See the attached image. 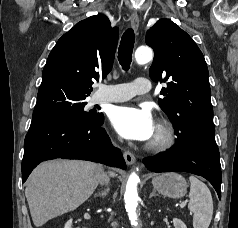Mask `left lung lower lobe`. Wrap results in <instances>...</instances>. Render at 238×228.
I'll return each instance as SVG.
<instances>
[{
  "label": "left lung lower lobe",
  "instance_id": "obj_1",
  "mask_svg": "<svg viewBox=\"0 0 238 228\" xmlns=\"http://www.w3.org/2000/svg\"><path fill=\"white\" fill-rule=\"evenodd\" d=\"M149 171H181L200 175L206 178L221 198V165L219 150L214 133L176 140L175 146L164 153L144 159Z\"/></svg>",
  "mask_w": 238,
  "mask_h": 228
}]
</instances>
